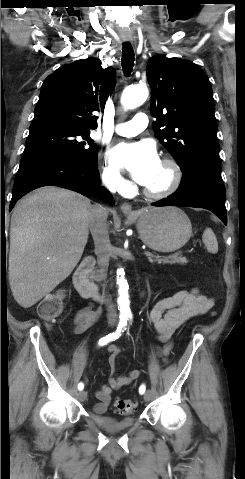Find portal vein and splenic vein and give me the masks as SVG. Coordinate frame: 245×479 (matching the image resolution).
I'll return each mask as SVG.
<instances>
[{"label":"portal vein and splenic vein","mask_w":245,"mask_h":479,"mask_svg":"<svg viewBox=\"0 0 245 479\" xmlns=\"http://www.w3.org/2000/svg\"><path fill=\"white\" fill-rule=\"evenodd\" d=\"M144 254H145V256H148V257H152V256H153V254H152L151 252H149V251H146ZM179 254H180L179 252H176V253H174L172 256L175 257V256H178Z\"/></svg>","instance_id":"18ae733b"}]
</instances>
